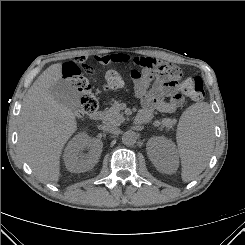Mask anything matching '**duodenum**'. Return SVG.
Here are the masks:
<instances>
[{
    "label": "duodenum",
    "mask_w": 245,
    "mask_h": 245,
    "mask_svg": "<svg viewBox=\"0 0 245 245\" xmlns=\"http://www.w3.org/2000/svg\"><path fill=\"white\" fill-rule=\"evenodd\" d=\"M101 116H102L101 111L100 110H96L95 112L92 113L91 118L93 120H96L97 121V120H100L101 119ZM136 120L138 122H144L145 121L144 117H142L140 115L137 116Z\"/></svg>",
    "instance_id": "duodenum-1"
}]
</instances>
